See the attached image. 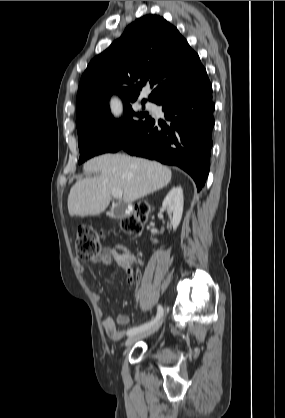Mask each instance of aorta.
<instances>
[{
	"label": "aorta",
	"mask_w": 285,
	"mask_h": 418,
	"mask_svg": "<svg viewBox=\"0 0 285 418\" xmlns=\"http://www.w3.org/2000/svg\"><path fill=\"white\" fill-rule=\"evenodd\" d=\"M112 107H113V111H114L115 114H119L120 113V109H119V106H118L117 101L113 100Z\"/></svg>",
	"instance_id": "aorta-1"
}]
</instances>
